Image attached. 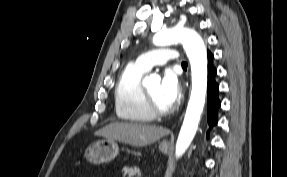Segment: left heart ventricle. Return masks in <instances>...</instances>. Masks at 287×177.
Returning a JSON list of instances; mask_svg holds the SVG:
<instances>
[{
	"label": "left heart ventricle",
	"instance_id": "obj_1",
	"mask_svg": "<svg viewBox=\"0 0 287 177\" xmlns=\"http://www.w3.org/2000/svg\"><path fill=\"white\" fill-rule=\"evenodd\" d=\"M147 89L160 108L169 109L172 106L163 98L161 94V83L160 82L150 85Z\"/></svg>",
	"mask_w": 287,
	"mask_h": 177
}]
</instances>
